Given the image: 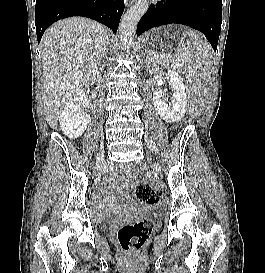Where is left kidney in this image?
Returning a JSON list of instances; mask_svg holds the SVG:
<instances>
[{
    "label": "left kidney",
    "instance_id": "5707ae66",
    "mask_svg": "<svg viewBox=\"0 0 265 273\" xmlns=\"http://www.w3.org/2000/svg\"><path fill=\"white\" fill-rule=\"evenodd\" d=\"M167 77L173 91L170 97V104H167L166 101L168 98H166V93L162 90H155L153 92V103L162 119L171 123L180 120L186 113L187 96L183 78L178 72L173 69L168 70Z\"/></svg>",
    "mask_w": 265,
    "mask_h": 273
}]
</instances>
